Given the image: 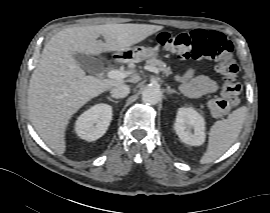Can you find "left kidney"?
<instances>
[{
  "instance_id": "5707ae66",
  "label": "left kidney",
  "mask_w": 270,
  "mask_h": 213,
  "mask_svg": "<svg viewBox=\"0 0 270 213\" xmlns=\"http://www.w3.org/2000/svg\"><path fill=\"white\" fill-rule=\"evenodd\" d=\"M174 129L185 144L200 146L205 142L204 118L193 108H180L178 110Z\"/></svg>"
}]
</instances>
